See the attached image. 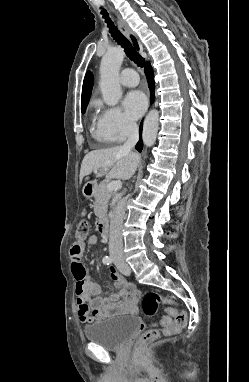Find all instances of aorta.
I'll list each match as a JSON object with an SVG mask.
<instances>
[{
    "label": "aorta",
    "mask_w": 249,
    "mask_h": 382,
    "mask_svg": "<svg viewBox=\"0 0 249 382\" xmlns=\"http://www.w3.org/2000/svg\"><path fill=\"white\" fill-rule=\"evenodd\" d=\"M124 50L121 47H112L103 56L100 65V89L104 102L109 106H115L122 97L119 83V71L124 59ZM159 128V112L151 110L145 117L143 124L142 140L147 147L154 145ZM120 195H117L114 204Z\"/></svg>",
    "instance_id": "aorta-1"
}]
</instances>
